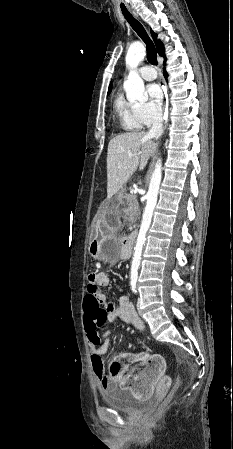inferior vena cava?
Returning a JSON list of instances; mask_svg holds the SVG:
<instances>
[{"label":"inferior vena cava","instance_id":"1","mask_svg":"<svg viewBox=\"0 0 233 449\" xmlns=\"http://www.w3.org/2000/svg\"><path fill=\"white\" fill-rule=\"evenodd\" d=\"M163 133V115L161 110H156L153 115L152 127L148 136L158 139Z\"/></svg>","mask_w":233,"mask_h":449}]
</instances>
